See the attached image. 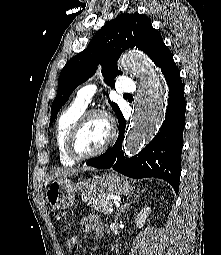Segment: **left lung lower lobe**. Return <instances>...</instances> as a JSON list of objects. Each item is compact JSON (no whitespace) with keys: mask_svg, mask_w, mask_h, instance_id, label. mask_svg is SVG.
<instances>
[{"mask_svg":"<svg viewBox=\"0 0 221 255\" xmlns=\"http://www.w3.org/2000/svg\"><path fill=\"white\" fill-rule=\"evenodd\" d=\"M155 64L161 68L169 87L166 116L158 134L138 155L125 158L121 146L126 121L121 115L118 117L119 136L113 147L103 155L87 162V165L101 169L113 168L135 179L161 178L170 183L178 193L186 110L184 85L167 46L161 49Z\"/></svg>","mask_w":221,"mask_h":255,"instance_id":"obj_1","label":"left lung lower lobe"}]
</instances>
